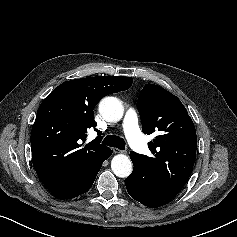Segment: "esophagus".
Returning a JSON list of instances; mask_svg holds the SVG:
<instances>
[{"label": "esophagus", "instance_id": "obj_1", "mask_svg": "<svg viewBox=\"0 0 237 237\" xmlns=\"http://www.w3.org/2000/svg\"><path fill=\"white\" fill-rule=\"evenodd\" d=\"M115 153H122V154H126V150H119V149H114Z\"/></svg>", "mask_w": 237, "mask_h": 237}]
</instances>
